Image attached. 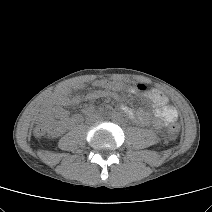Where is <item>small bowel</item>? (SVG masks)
Returning a JSON list of instances; mask_svg holds the SVG:
<instances>
[{"instance_id":"small-bowel-1","label":"small bowel","mask_w":212,"mask_h":212,"mask_svg":"<svg viewBox=\"0 0 212 212\" xmlns=\"http://www.w3.org/2000/svg\"><path fill=\"white\" fill-rule=\"evenodd\" d=\"M96 80L93 85L96 90L90 92L87 96V100H96L100 98H115L120 99L118 92L128 90L130 92H141L144 93L152 102L154 107L155 119H152L149 115L142 111L133 110L126 105H121V110L132 120L141 124L149 125L160 128L174 123L178 118L176 109L168 103L167 97L159 90L154 88H148L139 90L137 86L126 85L119 81H108L112 84V91L110 93H103L98 89V82ZM144 85V84H142ZM81 102L79 95L70 96L66 90L56 91L44 106V120L51 121L53 125V134L59 135L68 128L77 125L81 122L82 118L80 115L69 116L68 111L65 107L77 105Z\"/></svg>"}]
</instances>
